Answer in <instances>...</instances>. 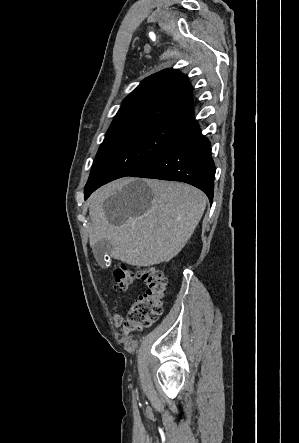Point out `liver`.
I'll use <instances>...</instances> for the list:
<instances>
[{
  "instance_id": "6515ba94",
  "label": "liver",
  "mask_w": 299,
  "mask_h": 443,
  "mask_svg": "<svg viewBox=\"0 0 299 443\" xmlns=\"http://www.w3.org/2000/svg\"><path fill=\"white\" fill-rule=\"evenodd\" d=\"M124 187L126 199L120 195ZM205 207L203 192L187 184L117 180L89 198V243L93 248L100 240L110 241V256L132 266L169 262L186 245Z\"/></svg>"
}]
</instances>
